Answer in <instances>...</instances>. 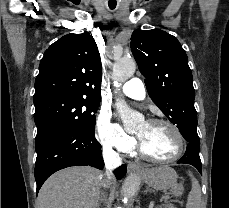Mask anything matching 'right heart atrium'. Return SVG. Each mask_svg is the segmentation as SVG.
<instances>
[{"instance_id": "1", "label": "right heart atrium", "mask_w": 229, "mask_h": 208, "mask_svg": "<svg viewBox=\"0 0 229 208\" xmlns=\"http://www.w3.org/2000/svg\"><path fill=\"white\" fill-rule=\"evenodd\" d=\"M95 137L104 148L122 153H131L137 146L136 140L113 123L110 114L105 111H101L96 118Z\"/></svg>"}]
</instances>
